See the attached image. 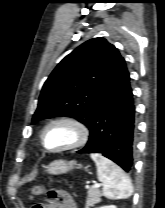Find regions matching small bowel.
<instances>
[{
    "label": "small bowel",
    "mask_w": 165,
    "mask_h": 208,
    "mask_svg": "<svg viewBox=\"0 0 165 208\" xmlns=\"http://www.w3.org/2000/svg\"><path fill=\"white\" fill-rule=\"evenodd\" d=\"M40 208H77L71 195L64 190H51L49 200L44 203H37Z\"/></svg>",
    "instance_id": "small-bowel-1"
}]
</instances>
